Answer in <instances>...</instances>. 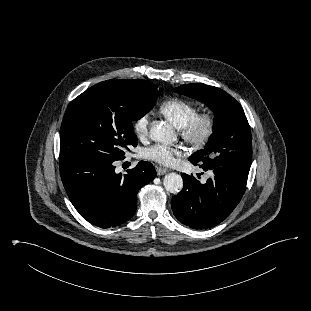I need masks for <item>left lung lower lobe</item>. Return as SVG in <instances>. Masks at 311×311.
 I'll return each instance as SVG.
<instances>
[{
    "label": "left lung lower lobe",
    "mask_w": 311,
    "mask_h": 311,
    "mask_svg": "<svg viewBox=\"0 0 311 311\" xmlns=\"http://www.w3.org/2000/svg\"><path fill=\"white\" fill-rule=\"evenodd\" d=\"M202 169L210 171L212 178L202 184L193 175L183 173V189L171 201L176 218L194 229L212 228L230 215L245 192L249 173L225 166Z\"/></svg>",
    "instance_id": "1"
}]
</instances>
